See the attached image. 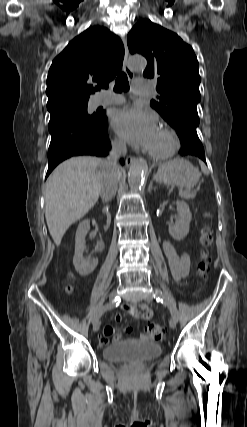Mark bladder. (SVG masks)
I'll use <instances>...</instances> for the list:
<instances>
[{"label":"bladder","instance_id":"bladder-1","mask_svg":"<svg viewBox=\"0 0 247 427\" xmlns=\"http://www.w3.org/2000/svg\"><path fill=\"white\" fill-rule=\"evenodd\" d=\"M161 351V347L156 343L128 340L106 346L103 355L105 359L114 362H145L158 357Z\"/></svg>","mask_w":247,"mask_h":427}]
</instances>
